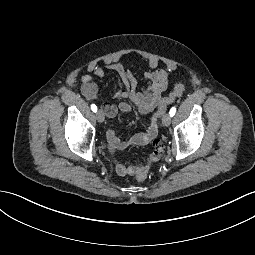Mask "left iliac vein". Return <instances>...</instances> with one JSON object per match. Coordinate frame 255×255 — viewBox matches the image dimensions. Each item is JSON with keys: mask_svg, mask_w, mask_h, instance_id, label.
I'll use <instances>...</instances> for the list:
<instances>
[{"mask_svg": "<svg viewBox=\"0 0 255 255\" xmlns=\"http://www.w3.org/2000/svg\"><path fill=\"white\" fill-rule=\"evenodd\" d=\"M170 123H171V116L169 114H165L162 118V124L167 127L170 125Z\"/></svg>", "mask_w": 255, "mask_h": 255, "instance_id": "4c4485c4", "label": "left iliac vein"}]
</instances>
